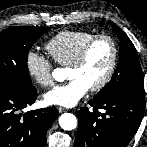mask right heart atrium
<instances>
[{"mask_svg":"<svg viewBox=\"0 0 147 147\" xmlns=\"http://www.w3.org/2000/svg\"><path fill=\"white\" fill-rule=\"evenodd\" d=\"M25 69L28 76L42 87L53 83L52 63L44 55L29 50L25 56Z\"/></svg>","mask_w":147,"mask_h":147,"instance_id":"d8ad5b80","label":"right heart atrium"}]
</instances>
